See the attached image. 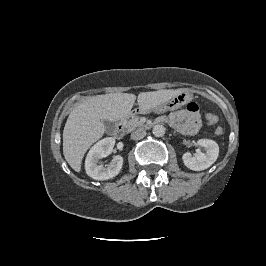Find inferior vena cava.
I'll list each match as a JSON object with an SVG mask.
<instances>
[{"label": "inferior vena cava", "mask_w": 266, "mask_h": 266, "mask_svg": "<svg viewBox=\"0 0 266 266\" xmlns=\"http://www.w3.org/2000/svg\"><path fill=\"white\" fill-rule=\"evenodd\" d=\"M146 136V131L143 129H137L131 133V139L140 140Z\"/></svg>", "instance_id": "obj_1"}]
</instances>
